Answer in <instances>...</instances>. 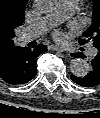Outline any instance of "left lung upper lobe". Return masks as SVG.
<instances>
[{"label": "left lung upper lobe", "instance_id": "1", "mask_svg": "<svg viewBox=\"0 0 100 118\" xmlns=\"http://www.w3.org/2000/svg\"><path fill=\"white\" fill-rule=\"evenodd\" d=\"M85 39L79 40L81 44L89 41L100 50V0H93V20L92 25L84 33Z\"/></svg>", "mask_w": 100, "mask_h": 118}]
</instances>
